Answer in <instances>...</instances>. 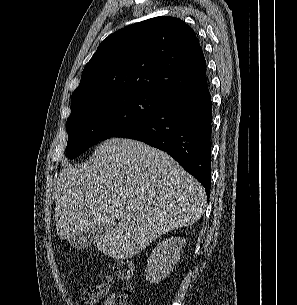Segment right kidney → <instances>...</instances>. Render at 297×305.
I'll return each mask as SVG.
<instances>
[{"mask_svg": "<svg viewBox=\"0 0 297 305\" xmlns=\"http://www.w3.org/2000/svg\"><path fill=\"white\" fill-rule=\"evenodd\" d=\"M185 242L184 238L171 237L159 243L147 260L146 281L159 283L164 280L180 259V250Z\"/></svg>", "mask_w": 297, "mask_h": 305, "instance_id": "right-kidney-1", "label": "right kidney"}]
</instances>
